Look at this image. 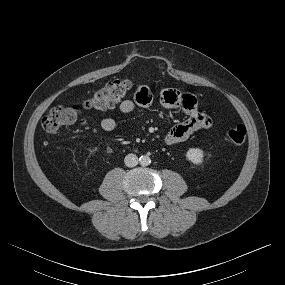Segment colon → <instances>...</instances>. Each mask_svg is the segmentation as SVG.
<instances>
[{"mask_svg":"<svg viewBox=\"0 0 285 285\" xmlns=\"http://www.w3.org/2000/svg\"><path fill=\"white\" fill-rule=\"evenodd\" d=\"M132 83L128 79H117L106 84L99 91L94 92L83 106L87 109L106 110L119 103L130 91ZM81 111L76 105H55L42 120V127L47 132H55L63 126L76 123L80 119ZM244 125H237L229 130L228 138L234 144H242L246 138Z\"/></svg>","mask_w":285,"mask_h":285,"instance_id":"colon-1","label":"colon"}]
</instances>
